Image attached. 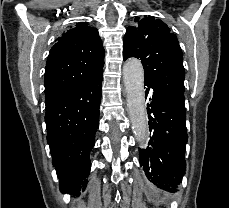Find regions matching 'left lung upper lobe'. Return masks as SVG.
<instances>
[{
    "label": "left lung upper lobe",
    "instance_id": "left-lung-upper-lobe-1",
    "mask_svg": "<svg viewBox=\"0 0 229 208\" xmlns=\"http://www.w3.org/2000/svg\"><path fill=\"white\" fill-rule=\"evenodd\" d=\"M127 28L123 57H137L145 71V83L184 106L183 54L177 37L153 16L136 17Z\"/></svg>",
    "mask_w": 229,
    "mask_h": 208
}]
</instances>
